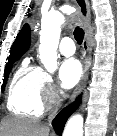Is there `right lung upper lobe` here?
<instances>
[{"instance_id": "cb5924a9", "label": "right lung upper lobe", "mask_w": 117, "mask_h": 136, "mask_svg": "<svg viewBox=\"0 0 117 136\" xmlns=\"http://www.w3.org/2000/svg\"><path fill=\"white\" fill-rule=\"evenodd\" d=\"M30 42V29L29 26L26 24L18 34L13 44L8 60L19 59L21 55L28 50Z\"/></svg>"}]
</instances>
